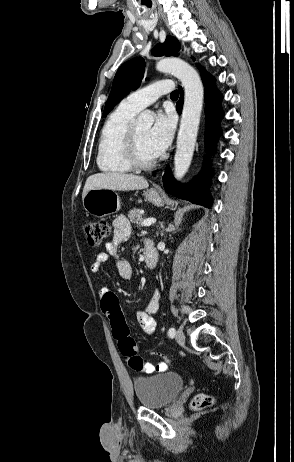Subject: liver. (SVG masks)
Returning a JSON list of instances; mask_svg holds the SVG:
<instances>
[{
    "instance_id": "6515ba94",
    "label": "liver",
    "mask_w": 294,
    "mask_h": 462,
    "mask_svg": "<svg viewBox=\"0 0 294 462\" xmlns=\"http://www.w3.org/2000/svg\"><path fill=\"white\" fill-rule=\"evenodd\" d=\"M148 182L144 177L123 174L117 172L97 173L87 178L82 199L86 193L93 188H104L109 190L129 191L139 190L148 187Z\"/></svg>"
}]
</instances>
